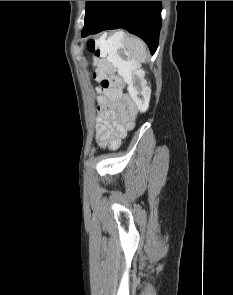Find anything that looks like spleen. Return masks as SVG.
Segmentation results:
<instances>
[{"mask_svg": "<svg viewBox=\"0 0 233 295\" xmlns=\"http://www.w3.org/2000/svg\"><path fill=\"white\" fill-rule=\"evenodd\" d=\"M99 44L102 56H107L108 61L112 62L119 70L124 65L123 60L118 55V50L121 48H126L140 62H144L147 57L145 43L135 36L126 37L121 31L116 32L106 41H100Z\"/></svg>", "mask_w": 233, "mask_h": 295, "instance_id": "obj_1", "label": "spleen"}]
</instances>
